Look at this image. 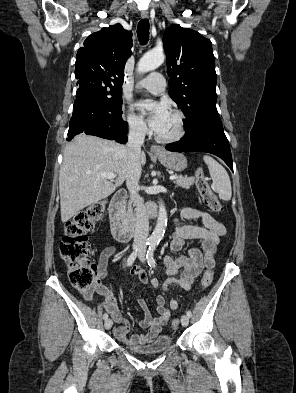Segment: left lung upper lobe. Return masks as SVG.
<instances>
[{"label": "left lung upper lobe", "mask_w": 296, "mask_h": 393, "mask_svg": "<svg viewBox=\"0 0 296 393\" xmlns=\"http://www.w3.org/2000/svg\"><path fill=\"white\" fill-rule=\"evenodd\" d=\"M163 45L169 95L186 116L185 130L200 120L219 117L211 41L194 30L172 25L164 32Z\"/></svg>", "instance_id": "left-lung-upper-lobe-1"}]
</instances>
